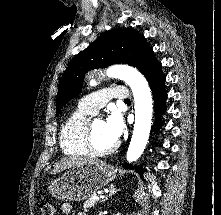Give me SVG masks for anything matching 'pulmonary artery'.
Segmentation results:
<instances>
[{"label": "pulmonary artery", "mask_w": 221, "mask_h": 215, "mask_svg": "<svg viewBox=\"0 0 221 215\" xmlns=\"http://www.w3.org/2000/svg\"><path fill=\"white\" fill-rule=\"evenodd\" d=\"M127 97L128 91L124 87L118 86L104 88L82 98L79 102V107L91 113H97L98 110L101 109L110 99H127Z\"/></svg>", "instance_id": "pulmonary-artery-1"}]
</instances>
